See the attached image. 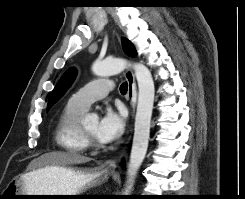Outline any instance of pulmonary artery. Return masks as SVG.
<instances>
[{
    "mask_svg": "<svg viewBox=\"0 0 245 199\" xmlns=\"http://www.w3.org/2000/svg\"><path fill=\"white\" fill-rule=\"evenodd\" d=\"M113 86L110 80L92 81L73 94L69 103L86 111L93 102L106 97Z\"/></svg>",
    "mask_w": 245,
    "mask_h": 199,
    "instance_id": "pulmonary-artery-1",
    "label": "pulmonary artery"
}]
</instances>
